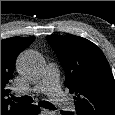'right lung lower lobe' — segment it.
Listing matches in <instances>:
<instances>
[{
    "label": "right lung lower lobe",
    "instance_id": "right-lung-lower-lobe-1",
    "mask_svg": "<svg viewBox=\"0 0 115 115\" xmlns=\"http://www.w3.org/2000/svg\"><path fill=\"white\" fill-rule=\"evenodd\" d=\"M40 112V108L36 105H26L24 111L20 115H37Z\"/></svg>",
    "mask_w": 115,
    "mask_h": 115
}]
</instances>
